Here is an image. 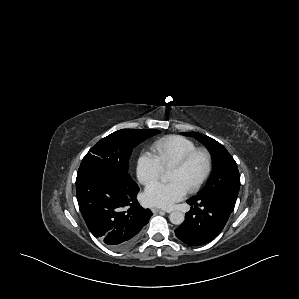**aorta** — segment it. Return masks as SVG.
I'll list each match as a JSON object with an SVG mask.
<instances>
[{
    "instance_id": "1",
    "label": "aorta",
    "mask_w": 299,
    "mask_h": 299,
    "mask_svg": "<svg viewBox=\"0 0 299 299\" xmlns=\"http://www.w3.org/2000/svg\"><path fill=\"white\" fill-rule=\"evenodd\" d=\"M161 180L166 182L167 178L163 176L161 177ZM169 219L172 224L181 225L184 222L185 216L180 211H174L170 214Z\"/></svg>"
}]
</instances>
